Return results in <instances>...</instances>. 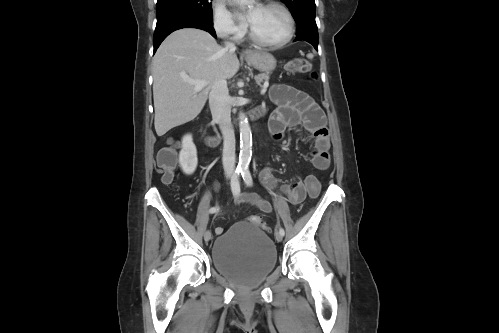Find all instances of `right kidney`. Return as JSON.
I'll use <instances>...</instances> for the list:
<instances>
[{
  "label": "right kidney",
  "mask_w": 499,
  "mask_h": 333,
  "mask_svg": "<svg viewBox=\"0 0 499 333\" xmlns=\"http://www.w3.org/2000/svg\"><path fill=\"white\" fill-rule=\"evenodd\" d=\"M178 162L183 173L186 175H191L195 172L198 164V158L196 146L193 143L191 134H187L182 138V146Z\"/></svg>",
  "instance_id": "1"
}]
</instances>
